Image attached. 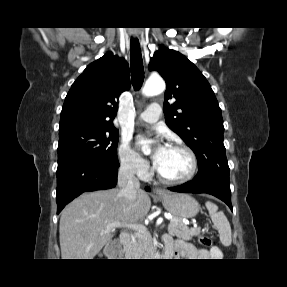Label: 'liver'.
Masks as SVG:
<instances>
[{"mask_svg":"<svg viewBox=\"0 0 287 287\" xmlns=\"http://www.w3.org/2000/svg\"><path fill=\"white\" fill-rule=\"evenodd\" d=\"M151 207L143 190L136 200L128 201L120 189L84 193L61 213L59 234L62 259H93L115 233L106 226L121 222L133 224L143 220Z\"/></svg>","mask_w":287,"mask_h":287,"instance_id":"1","label":"liver"}]
</instances>
